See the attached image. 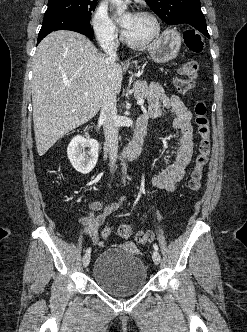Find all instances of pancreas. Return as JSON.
Listing matches in <instances>:
<instances>
[{"instance_id": "cf45deb5", "label": "pancreas", "mask_w": 247, "mask_h": 332, "mask_svg": "<svg viewBox=\"0 0 247 332\" xmlns=\"http://www.w3.org/2000/svg\"><path fill=\"white\" fill-rule=\"evenodd\" d=\"M136 99H144L149 95V88L145 81H136L133 85Z\"/></svg>"}]
</instances>
